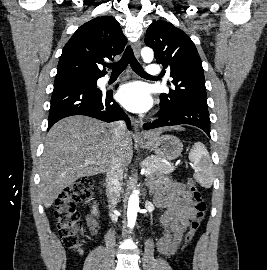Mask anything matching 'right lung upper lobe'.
Masks as SVG:
<instances>
[{
  "label": "right lung upper lobe",
  "instance_id": "right-lung-upper-lobe-1",
  "mask_svg": "<svg viewBox=\"0 0 267 270\" xmlns=\"http://www.w3.org/2000/svg\"><path fill=\"white\" fill-rule=\"evenodd\" d=\"M127 43L118 21L110 16L97 17L83 24L63 48L57 75L77 74L102 77L105 59L121 54Z\"/></svg>",
  "mask_w": 267,
  "mask_h": 270
}]
</instances>
